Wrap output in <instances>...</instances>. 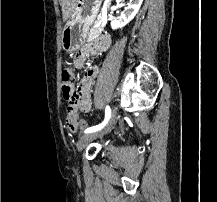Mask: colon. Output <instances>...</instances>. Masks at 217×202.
Returning <instances> with one entry per match:
<instances>
[{
	"label": "colon",
	"mask_w": 217,
	"mask_h": 202,
	"mask_svg": "<svg viewBox=\"0 0 217 202\" xmlns=\"http://www.w3.org/2000/svg\"><path fill=\"white\" fill-rule=\"evenodd\" d=\"M78 79L81 78H78L75 72L70 70L63 71L62 92L67 101L68 108L71 111L80 109L81 108L80 102H88V96H79V95H83V90H76V88L79 87H74V82H78ZM73 119H74V114L67 116L65 119V123L71 131H73V126L75 124L73 122ZM79 122H80L79 125L80 130H85L87 128L86 121L83 118H81Z\"/></svg>",
	"instance_id": "1"
}]
</instances>
